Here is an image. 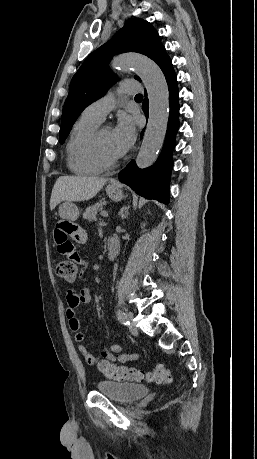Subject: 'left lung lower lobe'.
Returning a JSON list of instances; mask_svg holds the SVG:
<instances>
[{
    "label": "left lung lower lobe",
    "mask_w": 257,
    "mask_h": 459,
    "mask_svg": "<svg viewBox=\"0 0 257 459\" xmlns=\"http://www.w3.org/2000/svg\"><path fill=\"white\" fill-rule=\"evenodd\" d=\"M169 88L170 115L165 143L162 152L154 165L139 169L132 160L118 175L120 182L130 186L137 194L159 202H169V180L173 166L172 150L175 146V135L179 126L178 88L172 60L166 56L159 64ZM143 111L148 117V99L145 98ZM143 133L141 134V136Z\"/></svg>",
    "instance_id": "obj_1"
}]
</instances>
